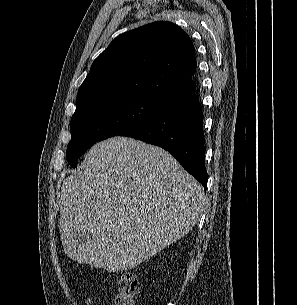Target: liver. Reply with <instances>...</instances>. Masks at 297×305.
Instances as JSON below:
<instances>
[{"instance_id": "6515ba94", "label": "liver", "mask_w": 297, "mask_h": 305, "mask_svg": "<svg viewBox=\"0 0 297 305\" xmlns=\"http://www.w3.org/2000/svg\"><path fill=\"white\" fill-rule=\"evenodd\" d=\"M65 254L108 272L126 271L186 235L205 206L202 186L164 149L116 136L95 144L60 197ZM89 230L78 245L74 237Z\"/></svg>"}]
</instances>
